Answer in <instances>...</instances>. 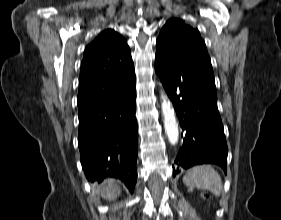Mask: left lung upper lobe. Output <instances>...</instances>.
Returning a JSON list of instances; mask_svg holds the SVG:
<instances>
[{"instance_id":"1","label":"left lung upper lobe","mask_w":281,"mask_h":220,"mask_svg":"<svg viewBox=\"0 0 281 220\" xmlns=\"http://www.w3.org/2000/svg\"><path fill=\"white\" fill-rule=\"evenodd\" d=\"M155 58H179L194 68L214 77L206 45L197 29L183 20L170 19L157 38Z\"/></svg>"}]
</instances>
